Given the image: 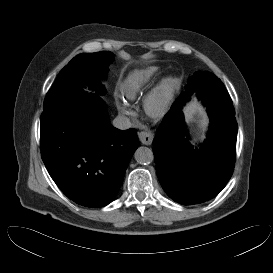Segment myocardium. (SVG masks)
Returning <instances> with one entry per match:
<instances>
[{"label": "myocardium", "instance_id": "obj_1", "mask_svg": "<svg viewBox=\"0 0 273 273\" xmlns=\"http://www.w3.org/2000/svg\"><path fill=\"white\" fill-rule=\"evenodd\" d=\"M174 86L175 79L165 77L150 90L144 100L145 111L150 116L159 117L166 111L172 98Z\"/></svg>", "mask_w": 273, "mask_h": 273}]
</instances>
